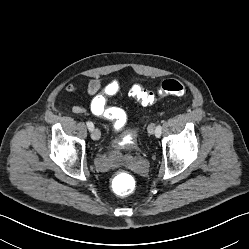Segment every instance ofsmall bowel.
Listing matches in <instances>:
<instances>
[{"instance_id": "small-bowel-1", "label": "small bowel", "mask_w": 249, "mask_h": 249, "mask_svg": "<svg viewBox=\"0 0 249 249\" xmlns=\"http://www.w3.org/2000/svg\"><path fill=\"white\" fill-rule=\"evenodd\" d=\"M117 87L118 92V83L117 81H112L106 85H103L102 79L95 77L89 80L86 86V92L91 97L89 109L97 117L108 119L114 122V127L116 128V121H125L126 114L123 110L110 106L107 103L109 97L113 96L116 93H112V90ZM65 90L70 93H77L79 88L73 83H68L65 87ZM74 114H83L87 112V108L81 105H74L71 109ZM117 129V128H116ZM107 157H102L100 160H105ZM139 171H144L146 164L144 162H137Z\"/></svg>"}]
</instances>
